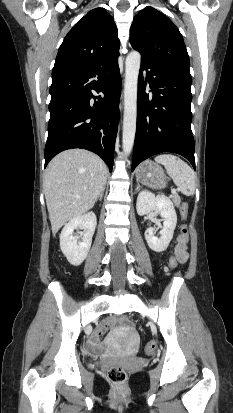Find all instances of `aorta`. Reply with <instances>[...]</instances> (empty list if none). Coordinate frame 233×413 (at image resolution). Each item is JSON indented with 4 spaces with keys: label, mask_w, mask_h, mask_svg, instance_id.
I'll return each instance as SVG.
<instances>
[{
    "label": "aorta",
    "mask_w": 233,
    "mask_h": 413,
    "mask_svg": "<svg viewBox=\"0 0 233 413\" xmlns=\"http://www.w3.org/2000/svg\"><path fill=\"white\" fill-rule=\"evenodd\" d=\"M141 65V55L138 51H131L125 63V82H124V118L122 147L127 156L131 153L137 123V90L138 75Z\"/></svg>",
    "instance_id": "1"
}]
</instances>
